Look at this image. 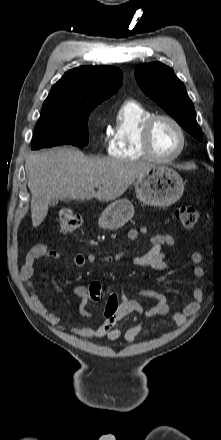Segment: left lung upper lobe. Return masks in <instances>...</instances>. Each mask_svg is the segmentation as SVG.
Returning a JSON list of instances; mask_svg holds the SVG:
<instances>
[{"instance_id": "1", "label": "left lung upper lobe", "mask_w": 221, "mask_h": 440, "mask_svg": "<svg viewBox=\"0 0 221 440\" xmlns=\"http://www.w3.org/2000/svg\"><path fill=\"white\" fill-rule=\"evenodd\" d=\"M142 91L170 114L187 132L202 141L195 109L186 88L174 71L160 63L141 64L134 69Z\"/></svg>"}]
</instances>
